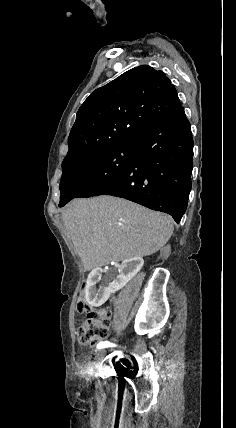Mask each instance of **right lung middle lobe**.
I'll list each match as a JSON object with an SVG mask.
<instances>
[{
    "label": "right lung middle lobe",
    "instance_id": "dd1d6c3e",
    "mask_svg": "<svg viewBox=\"0 0 236 428\" xmlns=\"http://www.w3.org/2000/svg\"><path fill=\"white\" fill-rule=\"evenodd\" d=\"M135 155L136 140H126L63 168L58 206L73 198L93 196L124 171Z\"/></svg>",
    "mask_w": 236,
    "mask_h": 428
}]
</instances>
